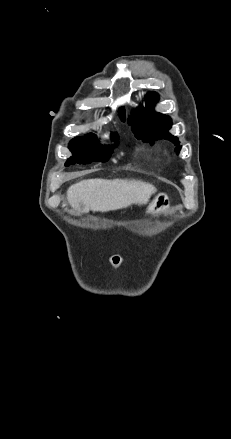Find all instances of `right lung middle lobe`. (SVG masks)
Returning <instances> with one entry per match:
<instances>
[{
    "mask_svg": "<svg viewBox=\"0 0 231 439\" xmlns=\"http://www.w3.org/2000/svg\"><path fill=\"white\" fill-rule=\"evenodd\" d=\"M111 137L116 142L115 145L102 146L98 141L96 135L90 133L86 136L75 137L69 143V149L73 155L65 163L66 166L75 163L89 164L93 161L105 162L109 159L112 149L117 146L119 136L117 133H112Z\"/></svg>",
    "mask_w": 231,
    "mask_h": 439,
    "instance_id": "obj_1",
    "label": "right lung middle lobe"
}]
</instances>
